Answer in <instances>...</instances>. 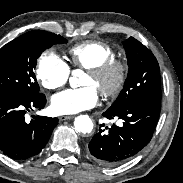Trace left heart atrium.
<instances>
[{
    "label": "left heart atrium",
    "mask_w": 183,
    "mask_h": 183,
    "mask_svg": "<svg viewBox=\"0 0 183 183\" xmlns=\"http://www.w3.org/2000/svg\"><path fill=\"white\" fill-rule=\"evenodd\" d=\"M98 99V91L93 86H84L54 95L51 105L56 114H75L93 108Z\"/></svg>",
    "instance_id": "1"
}]
</instances>
